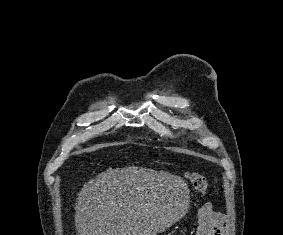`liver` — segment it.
<instances>
[{"label":"liver","mask_w":283,"mask_h":235,"mask_svg":"<svg viewBox=\"0 0 283 235\" xmlns=\"http://www.w3.org/2000/svg\"><path fill=\"white\" fill-rule=\"evenodd\" d=\"M186 184L165 171L109 168L84 184L75 204L78 235H156L179 219Z\"/></svg>","instance_id":"6515ba94"}]
</instances>
